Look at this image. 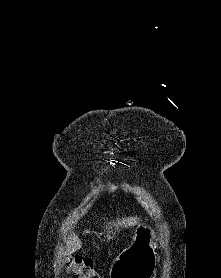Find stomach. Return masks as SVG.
<instances>
[{"mask_svg": "<svg viewBox=\"0 0 221 278\" xmlns=\"http://www.w3.org/2000/svg\"><path fill=\"white\" fill-rule=\"evenodd\" d=\"M154 238L155 232L151 227L139 224L131 246L108 264V269H112L111 278H149V275H154Z\"/></svg>", "mask_w": 221, "mask_h": 278, "instance_id": "obj_1", "label": "stomach"}]
</instances>
